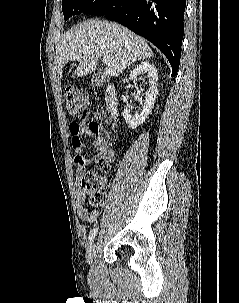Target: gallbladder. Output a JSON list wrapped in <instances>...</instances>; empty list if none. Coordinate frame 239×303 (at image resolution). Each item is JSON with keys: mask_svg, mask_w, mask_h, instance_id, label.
<instances>
[{"mask_svg": "<svg viewBox=\"0 0 239 303\" xmlns=\"http://www.w3.org/2000/svg\"><path fill=\"white\" fill-rule=\"evenodd\" d=\"M107 78L105 75H103V73L101 71H98L97 73H95L92 78H91V82H90V86L92 88L98 87L103 85L106 82Z\"/></svg>", "mask_w": 239, "mask_h": 303, "instance_id": "obj_1", "label": "gallbladder"}]
</instances>
